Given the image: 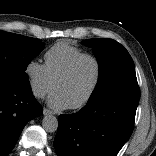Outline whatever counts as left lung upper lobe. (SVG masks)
I'll return each mask as SVG.
<instances>
[{"label":"left lung upper lobe","mask_w":156,"mask_h":156,"mask_svg":"<svg viewBox=\"0 0 156 156\" xmlns=\"http://www.w3.org/2000/svg\"><path fill=\"white\" fill-rule=\"evenodd\" d=\"M99 63V79L88 102L110 95L140 98L134 62L128 51L112 39H87Z\"/></svg>","instance_id":"left-lung-upper-lobe-1"}]
</instances>
